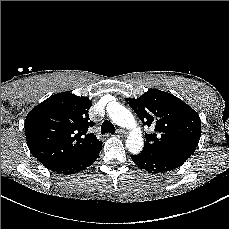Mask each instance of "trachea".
<instances>
[{"instance_id":"obj_1","label":"trachea","mask_w":229,"mask_h":229,"mask_svg":"<svg viewBox=\"0 0 229 229\" xmlns=\"http://www.w3.org/2000/svg\"><path fill=\"white\" fill-rule=\"evenodd\" d=\"M105 133H111V134L115 133V127L112 124V122H110L109 120H105L101 125V134H105Z\"/></svg>"}]
</instances>
